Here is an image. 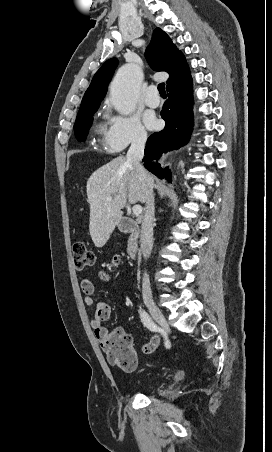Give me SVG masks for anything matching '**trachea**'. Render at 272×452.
<instances>
[{
    "mask_svg": "<svg viewBox=\"0 0 272 452\" xmlns=\"http://www.w3.org/2000/svg\"><path fill=\"white\" fill-rule=\"evenodd\" d=\"M158 91H159L161 96H166L165 83H160L158 85Z\"/></svg>",
    "mask_w": 272,
    "mask_h": 452,
    "instance_id": "obj_1",
    "label": "trachea"
}]
</instances>
